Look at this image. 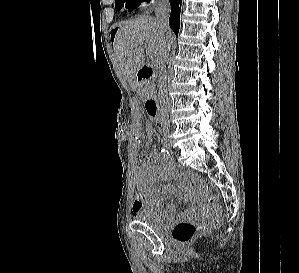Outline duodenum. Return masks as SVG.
<instances>
[{"mask_svg": "<svg viewBox=\"0 0 299 273\" xmlns=\"http://www.w3.org/2000/svg\"><path fill=\"white\" fill-rule=\"evenodd\" d=\"M152 77L153 69L148 65L141 66L136 72V80L139 83H144L145 85L149 83ZM145 109L152 118L159 121L158 102L151 93H147L145 96Z\"/></svg>", "mask_w": 299, "mask_h": 273, "instance_id": "410a0bca", "label": "duodenum"}]
</instances>
